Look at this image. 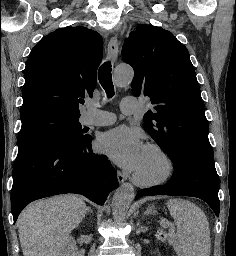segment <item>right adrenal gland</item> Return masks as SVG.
<instances>
[{"label":"right adrenal gland","mask_w":236,"mask_h":256,"mask_svg":"<svg viewBox=\"0 0 236 256\" xmlns=\"http://www.w3.org/2000/svg\"><path fill=\"white\" fill-rule=\"evenodd\" d=\"M88 212H91V214H93V212H92V210H90V208H89Z\"/></svg>","instance_id":"right-adrenal-gland-1"}]
</instances>
